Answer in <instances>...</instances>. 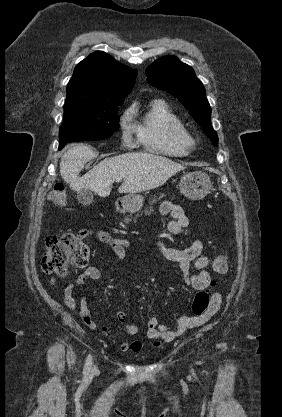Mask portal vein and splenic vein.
Returning a JSON list of instances; mask_svg holds the SVG:
<instances>
[{
    "label": "portal vein and splenic vein",
    "mask_w": 282,
    "mask_h": 417,
    "mask_svg": "<svg viewBox=\"0 0 282 417\" xmlns=\"http://www.w3.org/2000/svg\"><path fill=\"white\" fill-rule=\"evenodd\" d=\"M122 178H116L115 182H121Z\"/></svg>",
    "instance_id": "obj_1"
}]
</instances>
